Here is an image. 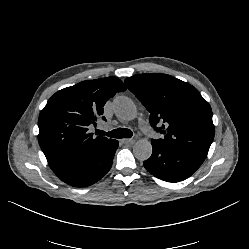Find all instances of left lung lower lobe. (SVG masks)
<instances>
[{
    "mask_svg": "<svg viewBox=\"0 0 249 249\" xmlns=\"http://www.w3.org/2000/svg\"><path fill=\"white\" fill-rule=\"evenodd\" d=\"M153 152L144 167L159 179L179 182L190 177L204 162L206 156L165 146L152 139Z\"/></svg>",
    "mask_w": 249,
    "mask_h": 249,
    "instance_id": "obj_1",
    "label": "left lung lower lobe"
}]
</instances>
